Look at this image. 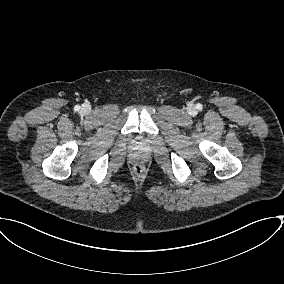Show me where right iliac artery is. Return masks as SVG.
<instances>
[{
	"instance_id": "obj_1",
	"label": "right iliac artery",
	"mask_w": 284,
	"mask_h": 284,
	"mask_svg": "<svg viewBox=\"0 0 284 284\" xmlns=\"http://www.w3.org/2000/svg\"><path fill=\"white\" fill-rule=\"evenodd\" d=\"M75 110L79 111L80 110V106L79 105L75 106Z\"/></svg>"
}]
</instances>
